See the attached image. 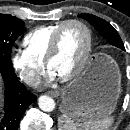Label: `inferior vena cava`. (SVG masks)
I'll return each instance as SVG.
<instances>
[{"label": "inferior vena cava", "mask_w": 130, "mask_h": 130, "mask_svg": "<svg viewBox=\"0 0 130 130\" xmlns=\"http://www.w3.org/2000/svg\"><path fill=\"white\" fill-rule=\"evenodd\" d=\"M24 81L27 85L38 86L41 83V78L39 76H27Z\"/></svg>", "instance_id": "602c4592"}]
</instances>
